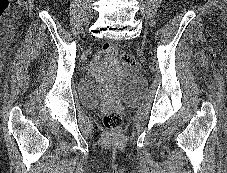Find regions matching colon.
Listing matches in <instances>:
<instances>
[{
  "label": "colon",
  "instance_id": "colon-1",
  "mask_svg": "<svg viewBox=\"0 0 227 173\" xmlns=\"http://www.w3.org/2000/svg\"><path fill=\"white\" fill-rule=\"evenodd\" d=\"M104 52L109 56L117 55V47L112 43H107L103 47ZM120 62L130 68H134L136 63L132 56L128 54H122L120 56ZM122 114L117 110H108L103 114L102 122L108 130H118L122 125Z\"/></svg>",
  "mask_w": 227,
  "mask_h": 173
}]
</instances>
